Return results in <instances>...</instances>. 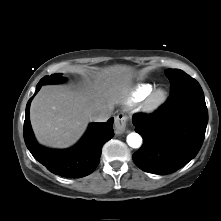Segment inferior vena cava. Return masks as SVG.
<instances>
[{
	"label": "inferior vena cava",
	"mask_w": 221,
	"mask_h": 221,
	"mask_svg": "<svg viewBox=\"0 0 221 221\" xmlns=\"http://www.w3.org/2000/svg\"><path fill=\"white\" fill-rule=\"evenodd\" d=\"M111 116V110L110 109H103V110H98L94 112L90 120L93 122H106Z\"/></svg>",
	"instance_id": "inferior-vena-cava-1"
}]
</instances>
